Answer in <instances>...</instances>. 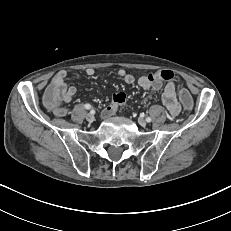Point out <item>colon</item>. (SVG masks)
Listing matches in <instances>:
<instances>
[{"label":"colon","instance_id":"colon-1","mask_svg":"<svg viewBox=\"0 0 231 231\" xmlns=\"http://www.w3.org/2000/svg\"><path fill=\"white\" fill-rule=\"evenodd\" d=\"M156 77L160 80L169 81L173 79L174 74L170 70H161L155 73ZM43 93L42 106L44 108H51L56 104L55 95L59 93V86L57 84H47ZM178 101L182 109L185 112L191 113L195 111V102L193 95L185 88H180L177 91ZM126 101V95L123 92L116 91L112 96V104L116 107L124 104Z\"/></svg>","mask_w":231,"mask_h":231}]
</instances>
